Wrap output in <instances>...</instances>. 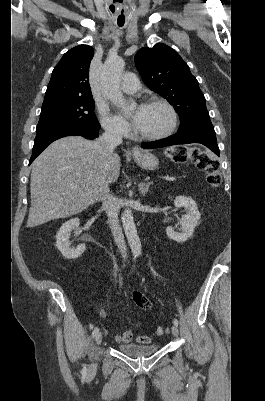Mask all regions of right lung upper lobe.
<instances>
[{"label": "right lung upper lobe", "instance_id": "obj_1", "mask_svg": "<svg viewBox=\"0 0 265 401\" xmlns=\"http://www.w3.org/2000/svg\"><path fill=\"white\" fill-rule=\"evenodd\" d=\"M93 55L94 50L88 45H79L66 52L52 72L43 105L64 99L92 97L88 76Z\"/></svg>", "mask_w": 265, "mask_h": 401}]
</instances>
